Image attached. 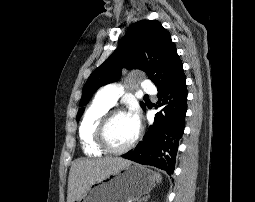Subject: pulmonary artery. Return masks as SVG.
Returning a JSON list of instances; mask_svg holds the SVG:
<instances>
[{"instance_id": "1", "label": "pulmonary artery", "mask_w": 255, "mask_h": 202, "mask_svg": "<svg viewBox=\"0 0 255 202\" xmlns=\"http://www.w3.org/2000/svg\"><path fill=\"white\" fill-rule=\"evenodd\" d=\"M141 89L148 94H153L156 90L149 80H143L141 82ZM122 94L123 87L118 83H111L102 87L97 93V97L110 106H113Z\"/></svg>"}]
</instances>
